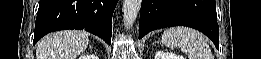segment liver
Returning a JSON list of instances; mask_svg holds the SVG:
<instances>
[{
    "instance_id": "obj_1",
    "label": "liver",
    "mask_w": 261,
    "mask_h": 59,
    "mask_svg": "<svg viewBox=\"0 0 261 59\" xmlns=\"http://www.w3.org/2000/svg\"><path fill=\"white\" fill-rule=\"evenodd\" d=\"M89 43L88 34L65 30L46 35L36 46V59H76Z\"/></svg>"
}]
</instances>
